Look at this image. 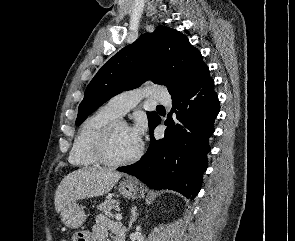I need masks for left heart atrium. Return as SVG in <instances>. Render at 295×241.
I'll return each mask as SVG.
<instances>
[{
	"label": "left heart atrium",
	"instance_id": "left-heart-atrium-1",
	"mask_svg": "<svg viewBox=\"0 0 295 241\" xmlns=\"http://www.w3.org/2000/svg\"><path fill=\"white\" fill-rule=\"evenodd\" d=\"M130 129L131 135L133 138L141 142L142 137L146 130V123L143 120H138Z\"/></svg>",
	"mask_w": 295,
	"mask_h": 241
}]
</instances>
